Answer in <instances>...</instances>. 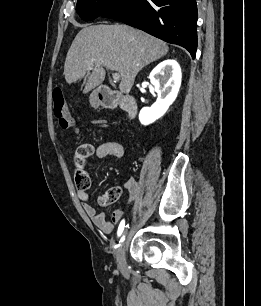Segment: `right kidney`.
Instances as JSON below:
<instances>
[{
    "label": "right kidney",
    "mask_w": 261,
    "mask_h": 306,
    "mask_svg": "<svg viewBox=\"0 0 261 306\" xmlns=\"http://www.w3.org/2000/svg\"><path fill=\"white\" fill-rule=\"evenodd\" d=\"M181 68L177 61L168 59L158 64L150 73L149 79L158 94L156 102L144 107L139 113V121L148 125L161 118L175 101L181 86Z\"/></svg>",
    "instance_id": "ca27d5eb"
}]
</instances>
